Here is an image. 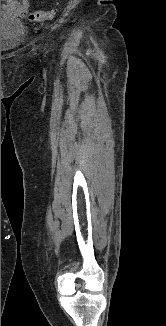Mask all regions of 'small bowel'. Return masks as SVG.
<instances>
[{
  "instance_id": "1",
  "label": "small bowel",
  "mask_w": 166,
  "mask_h": 326,
  "mask_svg": "<svg viewBox=\"0 0 166 326\" xmlns=\"http://www.w3.org/2000/svg\"><path fill=\"white\" fill-rule=\"evenodd\" d=\"M30 4L31 0H1L2 9L19 18L25 17Z\"/></svg>"
}]
</instances>
